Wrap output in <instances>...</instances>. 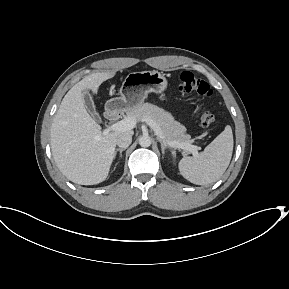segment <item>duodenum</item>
I'll list each match as a JSON object with an SVG mask.
<instances>
[{"label":"duodenum","instance_id":"410a0bca","mask_svg":"<svg viewBox=\"0 0 289 289\" xmlns=\"http://www.w3.org/2000/svg\"><path fill=\"white\" fill-rule=\"evenodd\" d=\"M106 117L110 121H115L121 117V111L118 107L111 105L106 109Z\"/></svg>","mask_w":289,"mask_h":289}]
</instances>
